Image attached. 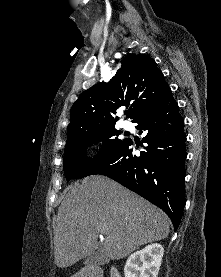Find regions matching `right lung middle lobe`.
I'll return each mask as SVG.
<instances>
[{
	"label": "right lung middle lobe",
	"instance_id": "obj_1",
	"mask_svg": "<svg viewBox=\"0 0 221 277\" xmlns=\"http://www.w3.org/2000/svg\"><path fill=\"white\" fill-rule=\"evenodd\" d=\"M121 132L114 125L82 131L67 139L64 157V173L67 180L91 175L93 169L111 156L127 139H119ZM102 141V147L93 159H86V148Z\"/></svg>",
	"mask_w": 221,
	"mask_h": 277
}]
</instances>
